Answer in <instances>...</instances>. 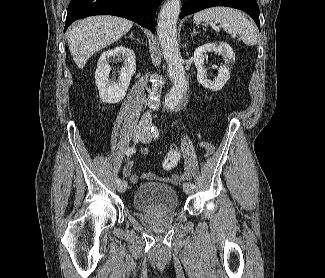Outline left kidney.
<instances>
[{
    "label": "left kidney",
    "mask_w": 325,
    "mask_h": 278,
    "mask_svg": "<svg viewBox=\"0 0 325 278\" xmlns=\"http://www.w3.org/2000/svg\"><path fill=\"white\" fill-rule=\"evenodd\" d=\"M214 52L221 54L224 58V64L220 66L218 75L214 80L207 79L204 61L207 53ZM235 63V54L233 49L227 43H207L198 47L194 52V64L197 69L198 82L207 89L218 91L226 84L230 78V69Z\"/></svg>",
    "instance_id": "obj_1"
}]
</instances>
